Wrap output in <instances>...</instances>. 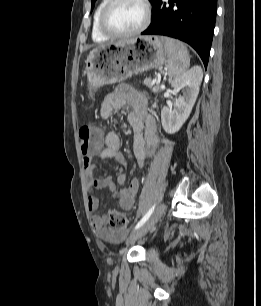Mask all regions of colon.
<instances>
[{
    "label": "colon",
    "instance_id": "obj_1",
    "mask_svg": "<svg viewBox=\"0 0 261 306\" xmlns=\"http://www.w3.org/2000/svg\"><path fill=\"white\" fill-rule=\"evenodd\" d=\"M79 138L82 154L86 157L98 152L103 142L102 131L91 124L83 125L79 129ZM109 224L113 228L124 229L127 227L128 218L125 213L119 210L111 211Z\"/></svg>",
    "mask_w": 261,
    "mask_h": 306
}]
</instances>
